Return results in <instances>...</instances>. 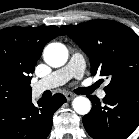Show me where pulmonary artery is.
<instances>
[{"mask_svg": "<svg viewBox=\"0 0 139 139\" xmlns=\"http://www.w3.org/2000/svg\"><path fill=\"white\" fill-rule=\"evenodd\" d=\"M85 70V60L79 53H74L69 62L62 68L53 71L47 77L37 81L32 86L34 95H40L46 90H50L57 86L63 85L72 78H82ZM100 99L106 96L104 89H100L97 93Z\"/></svg>", "mask_w": 139, "mask_h": 139, "instance_id": "e3ab8cb5", "label": "pulmonary artery"}]
</instances>
